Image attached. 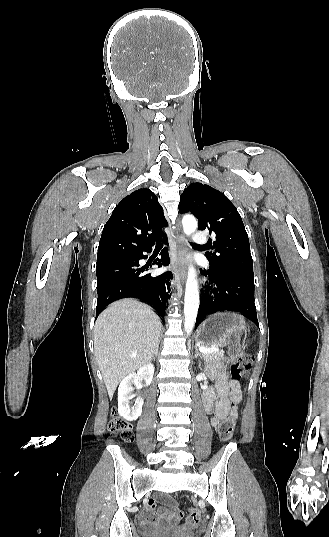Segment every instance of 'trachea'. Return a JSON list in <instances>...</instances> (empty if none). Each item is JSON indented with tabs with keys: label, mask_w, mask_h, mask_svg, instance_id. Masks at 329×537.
Here are the masks:
<instances>
[{
	"label": "trachea",
	"mask_w": 329,
	"mask_h": 537,
	"mask_svg": "<svg viewBox=\"0 0 329 537\" xmlns=\"http://www.w3.org/2000/svg\"><path fill=\"white\" fill-rule=\"evenodd\" d=\"M192 245H195V244H192ZM196 246V245H195ZM156 247H162V243L158 242V244L156 245Z\"/></svg>",
	"instance_id": "1"
}]
</instances>
